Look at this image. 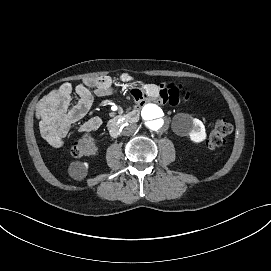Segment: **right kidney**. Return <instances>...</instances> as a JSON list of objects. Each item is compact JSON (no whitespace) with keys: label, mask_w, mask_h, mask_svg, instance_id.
<instances>
[{"label":"right kidney","mask_w":271,"mask_h":271,"mask_svg":"<svg viewBox=\"0 0 271 271\" xmlns=\"http://www.w3.org/2000/svg\"><path fill=\"white\" fill-rule=\"evenodd\" d=\"M69 174L73 179L82 180L87 174V165L81 162H73L69 166Z\"/></svg>","instance_id":"right-kidney-1"}]
</instances>
